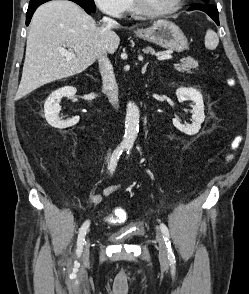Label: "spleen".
Instances as JSON below:
<instances>
[{"mask_svg":"<svg viewBox=\"0 0 249 294\" xmlns=\"http://www.w3.org/2000/svg\"><path fill=\"white\" fill-rule=\"evenodd\" d=\"M218 35L211 29H208L205 35V46L208 49H215L218 46Z\"/></svg>","mask_w":249,"mask_h":294,"instance_id":"obj_1","label":"spleen"}]
</instances>
